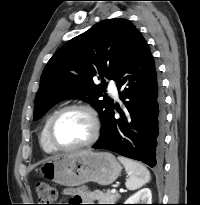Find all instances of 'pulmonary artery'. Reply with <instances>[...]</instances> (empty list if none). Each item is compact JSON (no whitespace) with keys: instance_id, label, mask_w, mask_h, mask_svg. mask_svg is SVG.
I'll return each instance as SVG.
<instances>
[{"instance_id":"obj_1","label":"pulmonary artery","mask_w":200,"mask_h":205,"mask_svg":"<svg viewBox=\"0 0 200 205\" xmlns=\"http://www.w3.org/2000/svg\"><path fill=\"white\" fill-rule=\"evenodd\" d=\"M108 90L115 98H118L117 87H116V84L113 81L109 82Z\"/></svg>"}]
</instances>
